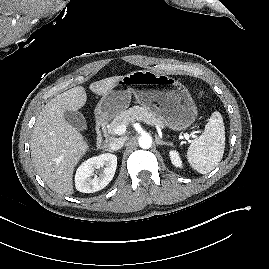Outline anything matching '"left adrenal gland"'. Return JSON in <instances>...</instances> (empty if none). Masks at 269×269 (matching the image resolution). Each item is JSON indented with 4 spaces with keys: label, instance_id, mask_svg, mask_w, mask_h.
<instances>
[{
    "label": "left adrenal gland",
    "instance_id": "obj_1",
    "mask_svg": "<svg viewBox=\"0 0 269 269\" xmlns=\"http://www.w3.org/2000/svg\"><path fill=\"white\" fill-rule=\"evenodd\" d=\"M155 140L157 145H170V143L160 140L157 136H155Z\"/></svg>",
    "mask_w": 269,
    "mask_h": 269
}]
</instances>
